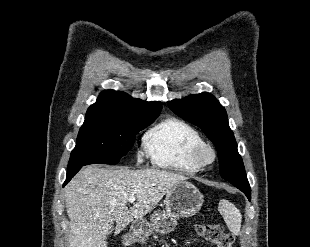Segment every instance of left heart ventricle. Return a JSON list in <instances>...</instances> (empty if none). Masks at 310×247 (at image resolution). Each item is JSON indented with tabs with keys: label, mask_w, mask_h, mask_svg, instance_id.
<instances>
[{
	"label": "left heart ventricle",
	"mask_w": 310,
	"mask_h": 247,
	"mask_svg": "<svg viewBox=\"0 0 310 247\" xmlns=\"http://www.w3.org/2000/svg\"><path fill=\"white\" fill-rule=\"evenodd\" d=\"M203 158H204L205 160H209V159H210V154L207 153V152H205V153L203 154Z\"/></svg>",
	"instance_id": "left-heart-ventricle-1"
}]
</instances>
